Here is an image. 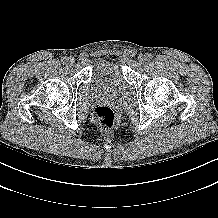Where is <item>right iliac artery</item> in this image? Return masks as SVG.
<instances>
[{
    "instance_id": "82829eb1",
    "label": "right iliac artery",
    "mask_w": 218,
    "mask_h": 218,
    "mask_svg": "<svg viewBox=\"0 0 218 218\" xmlns=\"http://www.w3.org/2000/svg\"><path fill=\"white\" fill-rule=\"evenodd\" d=\"M67 57H63L62 59H61V61H62V63L64 64V63H66L67 62Z\"/></svg>"
}]
</instances>
